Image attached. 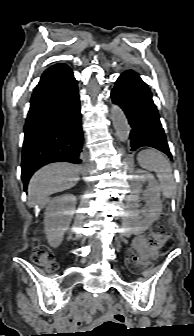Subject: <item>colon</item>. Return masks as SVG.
I'll list each match as a JSON object with an SVG mask.
<instances>
[{"mask_svg": "<svg viewBox=\"0 0 194 336\" xmlns=\"http://www.w3.org/2000/svg\"><path fill=\"white\" fill-rule=\"evenodd\" d=\"M172 235V227L164 220L160 219L156 222L152 231L148 236V243L152 255H156L164 249L169 238ZM32 259L41 267L53 271L58 268L54 254L44 245L35 244L32 251ZM128 266L137 270L139 266V258L134 252H130L127 256ZM125 330V314L122 305L113 306L111 318L94 331L90 332V336H115Z\"/></svg>", "mask_w": 194, "mask_h": 336, "instance_id": "1", "label": "colon"}]
</instances>
